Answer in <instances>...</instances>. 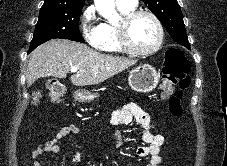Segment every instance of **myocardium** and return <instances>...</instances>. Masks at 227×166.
<instances>
[{"label": "myocardium", "instance_id": "myocardium-1", "mask_svg": "<svg viewBox=\"0 0 227 166\" xmlns=\"http://www.w3.org/2000/svg\"><path fill=\"white\" fill-rule=\"evenodd\" d=\"M140 16H148L152 19L157 29V38L155 43L148 49H140L131 44L128 40V28L130 24ZM117 38L120 46L127 53L136 55V56H149L156 53L163 43L164 31L163 26L158 19V17L147 10H134L130 13L123 15L116 26Z\"/></svg>", "mask_w": 227, "mask_h": 166}]
</instances>
